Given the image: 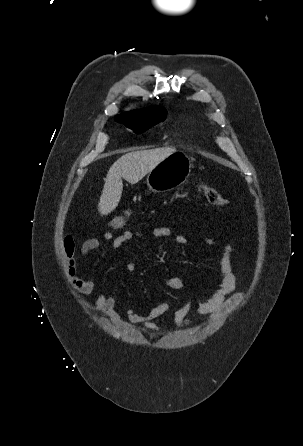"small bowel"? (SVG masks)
<instances>
[{
  "instance_id": "1",
  "label": "small bowel",
  "mask_w": 303,
  "mask_h": 446,
  "mask_svg": "<svg viewBox=\"0 0 303 446\" xmlns=\"http://www.w3.org/2000/svg\"><path fill=\"white\" fill-rule=\"evenodd\" d=\"M151 237L155 239H172L178 246H184L188 243V238L182 234H175L170 227L161 226L149 231L126 230L119 236L111 232H106L101 238L91 237L81 246L83 257L100 247L102 240L109 241L114 249H119L124 243L137 238ZM204 242L217 249L220 252L219 268L220 273L216 280L218 290L206 302L201 303L197 308V316L206 317L212 322L220 316L229 312L242 298L241 293H236L237 278L232 271L231 253L232 246L225 244L219 246L213 239L205 238ZM66 275L71 285L83 294H91L94 291L95 283L93 280L82 279L77 275V260L75 258L76 243L72 235H67L62 242ZM128 271H134L136 264L133 260L125 263ZM160 285L166 289L184 291L187 293L186 302L175 311L173 315L174 322L179 327H186L193 322L188 316L192 307V297L188 287L182 277H169L161 281ZM169 301L164 300L153 307L146 314H139L133 308H128L126 316L123 318L115 310V297L111 293H101L93 304V309L105 315L116 325L141 324L147 330L158 332V327L154 320L162 316L169 309Z\"/></svg>"
}]
</instances>
